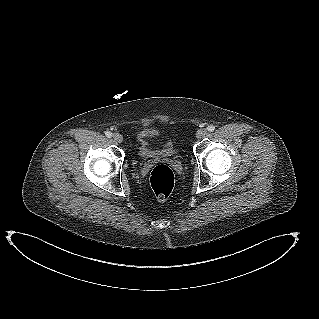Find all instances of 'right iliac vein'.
Wrapping results in <instances>:
<instances>
[{
  "label": "right iliac vein",
  "instance_id": "right-iliac-vein-1",
  "mask_svg": "<svg viewBox=\"0 0 319 319\" xmlns=\"http://www.w3.org/2000/svg\"><path fill=\"white\" fill-rule=\"evenodd\" d=\"M113 139H114V141L117 142V143H121V142L123 141V137H122V135L119 134V133H115V134L113 135Z\"/></svg>",
  "mask_w": 319,
  "mask_h": 319
}]
</instances>
